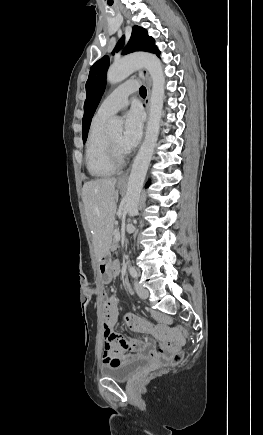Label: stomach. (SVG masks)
<instances>
[{
    "label": "stomach",
    "instance_id": "obj_1",
    "mask_svg": "<svg viewBox=\"0 0 263 435\" xmlns=\"http://www.w3.org/2000/svg\"><path fill=\"white\" fill-rule=\"evenodd\" d=\"M119 187H122V184L119 183ZM110 268V258L108 252L98 258V272L100 273L101 279L103 282H114L116 279V276L114 273H112V270Z\"/></svg>",
    "mask_w": 263,
    "mask_h": 435
}]
</instances>
